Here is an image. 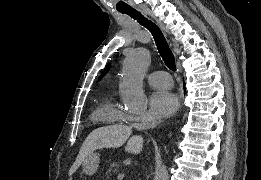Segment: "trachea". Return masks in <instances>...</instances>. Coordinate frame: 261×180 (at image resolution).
Returning a JSON list of instances; mask_svg holds the SVG:
<instances>
[{"label":"trachea","instance_id":"3493384b","mask_svg":"<svg viewBox=\"0 0 261 180\" xmlns=\"http://www.w3.org/2000/svg\"><path fill=\"white\" fill-rule=\"evenodd\" d=\"M121 13H125L126 15H129L131 18L135 19L143 25L145 28H147L153 35L157 49L159 51L160 56L162 57L165 65L172 70L173 72L176 71V65H175V58L171 50L169 49V46L167 44V41L165 40L161 30L159 27L154 24L151 20H148L146 17H144L140 12H137L134 9L121 11Z\"/></svg>","mask_w":261,"mask_h":180}]
</instances>
